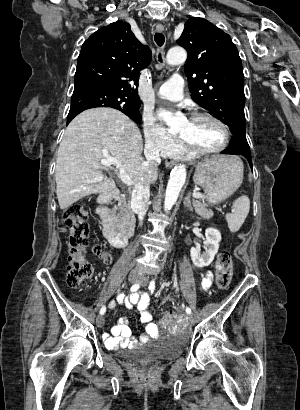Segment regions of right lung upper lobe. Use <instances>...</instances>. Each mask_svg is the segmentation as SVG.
Here are the masks:
<instances>
[{
	"label": "right lung upper lobe",
	"instance_id": "right-lung-upper-lobe-1",
	"mask_svg": "<svg viewBox=\"0 0 300 410\" xmlns=\"http://www.w3.org/2000/svg\"><path fill=\"white\" fill-rule=\"evenodd\" d=\"M150 61L151 50L136 39L128 23L117 21L83 43L74 82L104 86L141 104L137 94L139 72Z\"/></svg>",
	"mask_w": 300,
	"mask_h": 410
}]
</instances>
